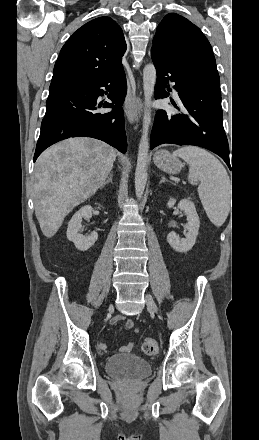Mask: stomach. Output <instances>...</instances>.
I'll list each match as a JSON object with an SVG mask.
<instances>
[{"label": "stomach", "instance_id": "0dacf381", "mask_svg": "<svg viewBox=\"0 0 259 440\" xmlns=\"http://www.w3.org/2000/svg\"><path fill=\"white\" fill-rule=\"evenodd\" d=\"M154 163L162 171L169 174H177L182 169V162L171 155L167 150L161 149L154 154Z\"/></svg>", "mask_w": 259, "mask_h": 440}]
</instances>
